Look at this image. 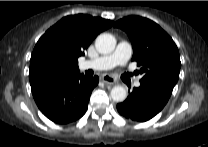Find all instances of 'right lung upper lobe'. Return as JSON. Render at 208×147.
<instances>
[{"instance_id":"obj_1","label":"right lung upper lobe","mask_w":208,"mask_h":147,"mask_svg":"<svg viewBox=\"0 0 208 147\" xmlns=\"http://www.w3.org/2000/svg\"><path fill=\"white\" fill-rule=\"evenodd\" d=\"M113 21L90 15L66 16L37 42L30 60L31 89L67 80L77 74L78 57Z\"/></svg>"}]
</instances>
